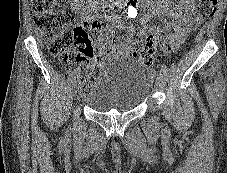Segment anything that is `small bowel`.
Here are the masks:
<instances>
[{
    "label": "small bowel",
    "mask_w": 227,
    "mask_h": 173,
    "mask_svg": "<svg viewBox=\"0 0 227 173\" xmlns=\"http://www.w3.org/2000/svg\"><path fill=\"white\" fill-rule=\"evenodd\" d=\"M140 2L143 1L127 0L118 12L126 15L135 12ZM142 4L150 10V15L168 19L164 22L165 31L162 33L148 25L147 21L150 16H147L142 19V24L139 27H127L118 34L110 33L107 35L108 40L103 37L97 39L98 52L113 57H125L132 53L134 39L162 36L164 42L159 46L165 53L170 54L181 45L185 36L200 23V17L196 12V0H178V4L171 0H159ZM113 20L118 23L117 17H114Z\"/></svg>",
    "instance_id": "obj_1"
}]
</instances>
